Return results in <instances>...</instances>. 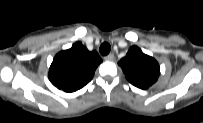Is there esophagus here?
Masks as SVG:
<instances>
[{
  "label": "esophagus",
  "mask_w": 203,
  "mask_h": 123,
  "mask_svg": "<svg viewBox=\"0 0 203 123\" xmlns=\"http://www.w3.org/2000/svg\"><path fill=\"white\" fill-rule=\"evenodd\" d=\"M114 54H109V55H107V56H105L104 57V59L106 60V61H113L114 60Z\"/></svg>",
  "instance_id": "1"
}]
</instances>
